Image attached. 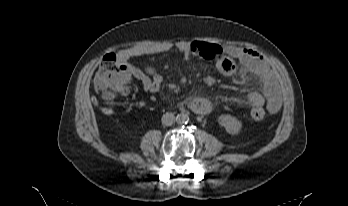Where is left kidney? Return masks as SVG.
<instances>
[{"label":"left kidney","instance_id":"obj_1","mask_svg":"<svg viewBox=\"0 0 348 206\" xmlns=\"http://www.w3.org/2000/svg\"><path fill=\"white\" fill-rule=\"evenodd\" d=\"M218 121L228 133L233 135L238 134L242 128V122L231 115H221Z\"/></svg>","mask_w":348,"mask_h":206}]
</instances>
